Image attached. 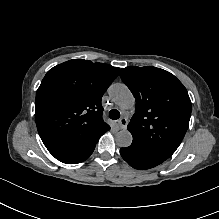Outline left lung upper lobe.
<instances>
[{
  "label": "left lung upper lobe",
  "instance_id": "obj_1",
  "mask_svg": "<svg viewBox=\"0 0 219 219\" xmlns=\"http://www.w3.org/2000/svg\"><path fill=\"white\" fill-rule=\"evenodd\" d=\"M120 77L136 99L127 126L132 143L168 159L189 126L191 100L186 88L173 74L156 67L129 66L121 69Z\"/></svg>",
  "mask_w": 219,
  "mask_h": 219
}]
</instances>
